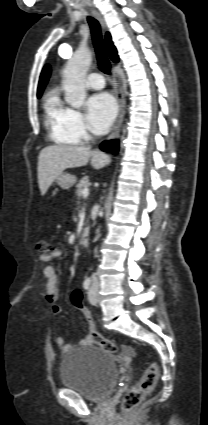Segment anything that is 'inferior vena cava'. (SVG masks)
Wrapping results in <instances>:
<instances>
[{"instance_id": "obj_1", "label": "inferior vena cava", "mask_w": 208, "mask_h": 425, "mask_svg": "<svg viewBox=\"0 0 208 425\" xmlns=\"http://www.w3.org/2000/svg\"><path fill=\"white\" fill-rule=\"evenodd\" d=\"M92 279H93L94 282H97V278H96L95 275L92 276Z\"/></svg>"}]
</instances>
